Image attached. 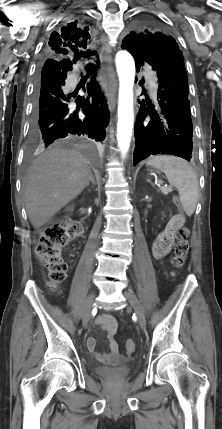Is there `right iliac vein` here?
I'll return each instance as SVG.
<instances>
[{
  "mask_svg": "<svg viewBox=\"0 0 222 429\" xmlns=\"http://www.w3.org/2000/svg\"><path fill=\"white\" fill-rule=\"evenodd\" d=\"M94 303V295H91L90 298L87 301L83 316H82V323L83 327L86 328L88 326V322L90 320L91 311Z\"/></svg>",
  "mask_w": 222,
  "mask_h": 429,
  "instance_id": "1",
  "label": "right iliac vein"
}]
</instances>
